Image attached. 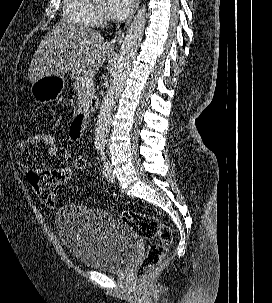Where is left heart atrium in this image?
<instances>
[{
  "mask_svg": "<svg viewBox=\"0 0 272 303\" xmlns=\"http://www.w3.org/2000/svg\"><path fill=\"white\" fill-rule=\"evenodd\" d=\"M105 8L114 20L126 18L132 9V0H105Z\"/></svg>",
  "mask_w": 272,
  "mask_h": 303,
  "instance_id": "1",
  "label": "left heart atrium"
}]
</instances>
